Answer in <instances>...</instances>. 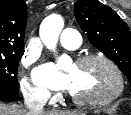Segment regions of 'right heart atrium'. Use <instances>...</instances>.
<instances>
[{"instance_id":"obj_1","label":"right heart atrium","mask_w":131,"mask_h":115,"mask_svg":"<svg viewBox=\"0 0 131 115\" xmlns=\"http://www.w3.org/2000/svg\"><path fill=\"white\" fill-rule=\"evenodd\" d=\"M31 60H27L29 64ZM21 90L24 96L31 100H47L50 97L49 91L40 85L32 84L27 77H24L21 81Z\"/></svg>"}]
</instances>
